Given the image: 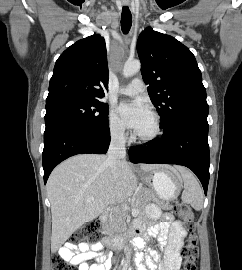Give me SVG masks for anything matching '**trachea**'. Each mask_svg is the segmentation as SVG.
<instances>
[{"instance_id": "trachea-1", "label": "trachea", "mask_w": 242, "mask_h": 270, "mask_svg": "<svg viewBox=\"0 0 242 270\" xmlns=\"http://www.w3.org/2000/svg\"><path fill=\"white\" fill-rule=\"evenodd\" d=\"M132 25V15L128 7H123L121 15V29L124 34H127Z\"/></svg>"}]
</instances>
